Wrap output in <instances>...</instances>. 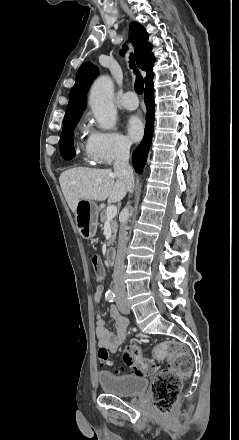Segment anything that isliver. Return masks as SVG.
Returning <instances> with one entry per match:
<instances>
[{
    "instance_id": "6515ba94",
    "label": "liver",
    "mask_w": 239,
    "mask_h": 440,
    "mask_svg": "<svg viewBox=\"0 0 239 440\" xmlns=\"http://www.w3.org/2000/svg\"><path fill=\"white\" fill-rule=\"evenodd\" d=\"M116 180V182H115ZM63 196L73 214L80 200L120 202L126 196L127 186L112 170L71 168L59 178Z\"/></svg>"
}]
</instances>
